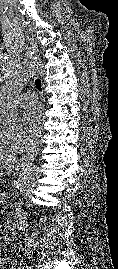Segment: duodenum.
I'll return each instance as SVG.
<instances>
[{"instance_id": "duodenum-1", "label": "duodenum", "mask_w": 118, "mask_h": 269, "mask_svg": "<svg viewBox=\"0 0 118 269\" xmlns=\"http://www.w3.org/2000/svg\"><path fill=\"white\" fill-rule=\"evenodd\" d=\"M27 223V217L24 213L18 212L15 219V225L18 229L24 228Z\"/></svg>"}]
</instances>
